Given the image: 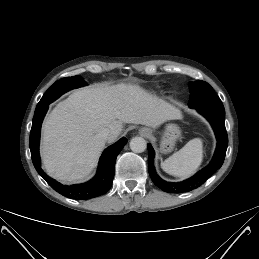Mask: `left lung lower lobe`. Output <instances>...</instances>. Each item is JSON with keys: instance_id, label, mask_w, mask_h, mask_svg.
Listing matches in <instances>:
<instances>
[{"instance_id": "left-lung-lower-lobe-1", "label": "left lung lower lobe", "mask_w": 259, "mask_h": 259, "mask_svg": "<svg viewBox=\"0 0 259 259\" xmlns=\"http://www.w3.org/2000/svg\"><path fill=\"white\" fill-rule=\"evenodd\" d=\"M191 108L196 109L199 113L205 116L211 123L216 138H217V148L215 154L212 158V161L207 167L198 172L195 176L179 183H171L162 180L156 173L153 157L154 151L150 144H148V169L149 175L153 183L159 187L161 190L167 193H184L192 191L199 186H201L210 176H212L216 170H218L223 162L226 155L228 137L225 129V110L222 102L214 104H203L192 106Z\"/></svg>"}]
</instances>
